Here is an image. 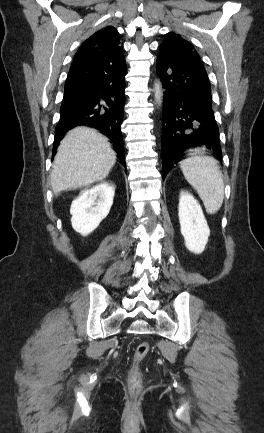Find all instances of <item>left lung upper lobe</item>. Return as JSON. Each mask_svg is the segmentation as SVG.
Returning a JSON list of instances; mask_svg holds the SVG:
<instances>
[{
    "instance_id": "left-lung-upper-lobe-1",
    "label": "left lung upper lobe",
    "mask_w": 264,
    "mask_h": 433,
    "mask_svg": "<svg viewBox=\"0 0 264 433\" xmlns=\"http://www.w3.org/2000/svg\"><path fill=\"white\" fill-rule=\"evenodd\" d=\"M159 54L167 55L175 60L202 67L199 54L193 45L173 32L167 33L159 48Z\"/></svg>"
}]
</instances>
